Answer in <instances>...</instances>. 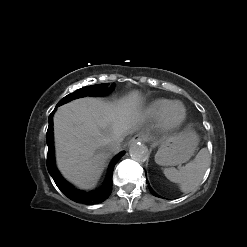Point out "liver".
I'll return each mask as SVG.
<instances>
[{
	"label": "liver",
	"mask_w": 247,
	"mask_h": 247,
	"mask_svg": "<svg viewBox=\"0 0 247 247\" xmlns=\"http://www.w3.org/2000/svg\"><path fill=\"white\" fill-rule=\"evenodd\" d=\"M141 103V93L134 90L117 103L85 97L59 107L54 115V138L62 175L80 189L93 188L112 155L107 144L121 143L133 132Z\"/></svg>",
	"instance_id": "1"
}]
</instances>
